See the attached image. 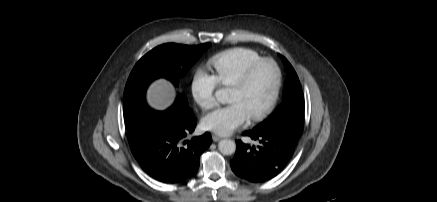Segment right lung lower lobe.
Instances as JSON below:
<instances>
[{
  "label": "right lung lower lobe",
  "instance_id": "98d812e1",
  "mask_svg": "<svg viewBox=\"0 0 437 202\" xmlns=\"http://www.w3.org/2000/svg\"><path fill=\"white\" fill-rule=\"evenodd\" d=\"M196 127L193 113L172 109L146 117L130 148L143 170L163 183H179L193 177L199 157L211 142L209 133L186 140Z\"/></svg>",
  "mask_w": 437,
  "mask_h": 202
}]
</instances>
